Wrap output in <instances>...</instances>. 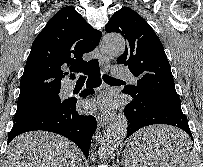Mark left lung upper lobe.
Returning a JSON list of instances; mask_svg holds the SVG:
<instances>
[{"mask_svg": "<svg viewBox=\"0 0 203 167\" xmlns=\"http://www.w3.org/2000/svg\"><path fill=\"white\" fill-rule=\"evenodd\" d=\"M105 30L120 33L127 41L117 63L128 66L137 78V84L125 86L123 93L133 99L180 100L163 45L137 12L128 7L121 8L112 15Z\"/></svg>", "mask_w": 203, "mask_h": 167, "instance_id": "1", "label": "left lung upper lobe"}]
</instances>
